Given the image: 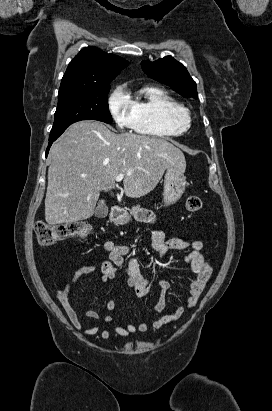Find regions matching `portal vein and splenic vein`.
<instances>
[{
	"label": "portal vein and splenic vein",
	"mask_w": 272,
	"mask_h": 411,
	"mask_svg": "<svg viewBox=\"0 0 272 411\" xmlns=\"http://www.w3.org/2000/svg\"><path fill=\"white\" fill-rule=\"evenodd\" d=\"M126 176V174H119L116 176L115 181L119 182L123 180V178Z\"/></svg>",
	"instance_id": "obj_1"
}]
</instances>
